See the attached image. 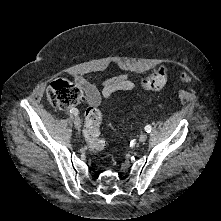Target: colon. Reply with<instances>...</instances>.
Instances as JSON below:
<instances>
[{"label":"colon","instance_id":"colon-1","mask_svg":"<svg viewBox=\"0 0 221 221\" xmlns=\"http://www.w3.org/2000/svg\"><path fill=\"white\" fill-rule=\"evenodd\" d=\"M183 78L190 80L187 73L183 72ZM167 82V69L159 67L155 72L145 78L142 86L151 91L161 90ZM81 90L73 83L58 79L50 84L47 89L49 102L59 108H67L77 105L82 100ZM101 111L96 106H90L85 112L84 136L91 151L97 152L105 148L106 142L100 136Z\"/></svg>","mask_w":221,"mask_h":221}]
</instances>
